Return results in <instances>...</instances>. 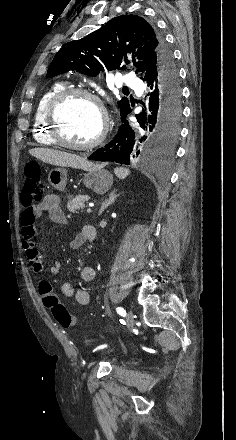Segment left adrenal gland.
Wrapping results in <instances>:
<instances>
[{"mask_svg": "<svg viewBox=\"0 0 236 440\" xmlns=\"http://www.w3.org/2000/svg\"><path fill=\"white\" fill-rule=\"evenodd\" d=\"M119 196V194H116V190L114 189L110 195L109 198L105 201L102 202L101 208L99 210V216L102 214V212L108 207L110 206L112 203L115 202V200L117 199V197Z\"/></svg>", "mask_w": 236, "mask_h": 440, "instance_id": "obj_1", "label": "left adrenal gland"}]
</instances>
